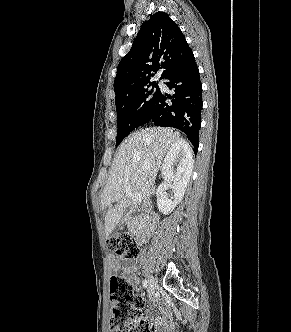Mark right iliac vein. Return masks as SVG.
I'll return each instance as SVG.
<instances>
[{"label":"right iliac vein","instance_id":"63e3f726","mask_svg":"<svg viewBox=\"0 0 291 332\" xmlns=\"http://www.w3.org/2000/svg\"><path fill=\"white\" fill-rule=\"evenodd\" d=\"M157 283L153 276L148 277V292L151 297H154Z\"/></svg>","mask_w":291,"mask_h":332}]
</instances>
